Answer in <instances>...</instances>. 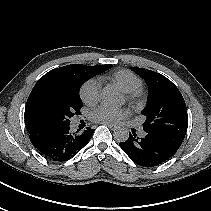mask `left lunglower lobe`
<instances>
[{
	"label": "left lung lower lobe",
	"instance_id": "left-lung-lower-lobe-1",
	"mask_svg": "<svg viewBox=\"0 0 211 211\" xmlns=\"http://www.w3.org/2000/svg\"><path fill=\"white\" fill-rule=\"evenodd\" d=\"M119 146L133 162L143 167L158 166L176 153L175 150L148 134L144 138L136 137L135 133L130 134L128 140L120 143Z\"/></svg>",
	"mask_w": 211,
	"mask_h": 211
}]
</instances>
